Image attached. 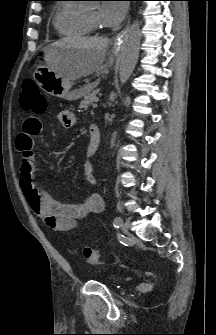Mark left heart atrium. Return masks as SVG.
<instances>
[{
	"instance_id": "39dd6f15",
	"label": "left heart atrium",
	"mask_w": 216,
	"mask_h": 335,
	"mask_svg": "<svg viewBox=\"0 0 216 335\" xmlns=\"http://www.w3.org/2000/svg\"><path fill=\"white\" fill-rule=\"evenodd\" d=\"M127 12L126 4L118 1H105L100 9V23L108 28H116Z\"/></svg>"
}]
</instances>
